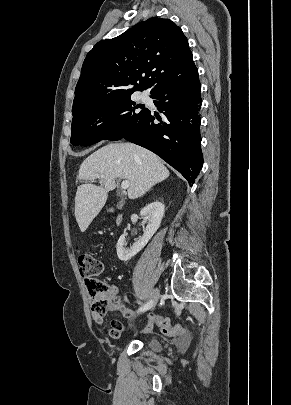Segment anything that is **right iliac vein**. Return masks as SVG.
<instances>
[{
	"instance_id": "1",
	"label": "right iliac vein",
	"mask_w": 291,
	"mask_h": 405,
	"mask_svg": "<svg viewBox=\"0 0 291 405\" xmlns=\"http://www.w3.org/2000/svg\"><path fill=\"white\" fill-rule=\"evenodd\" d=\"M159 296H160L159 290L154 289L152 291V293H151V301H152V306L151 307H154L157 304V302L159 300Z\"/></svg>"
}]
</instances>
